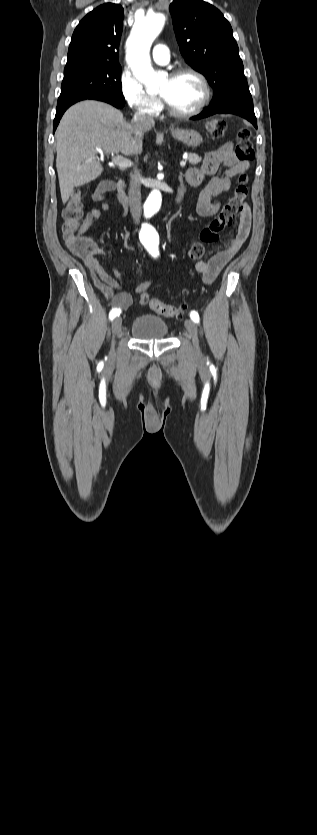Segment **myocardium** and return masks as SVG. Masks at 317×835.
Instances as JSON below:
<instances>
[{"label":"myocardium","instance_id":"obj_1","mask_svg":"<svg viewBox=\"0 0 317 835\" xmlns=\"http://www.w3.org/2000/svg\"><path fill=\"white\" fill-rule=\"evenodd\" d=\"M183 75H191L198 80V82L201 86V89H202V96H201L200 100L198 101L197 105L189 111H177V110H175L174 108L171 107V105L162 96V99L164 100V103H165V106H166V109H167L168 113L171 116L176 117V118H190V117L198 115L205 108V106L207 105V103L209 102L210 97H211V90H210L209 83H208L206 77L201 72H199L198 70H196L194 68L183 67V68H179V69H176L175 71H173L170 77L171 78H176V77H180V76H183Z\"/></svg>","mask_w":317,"mask_h":835}]
</instances>
